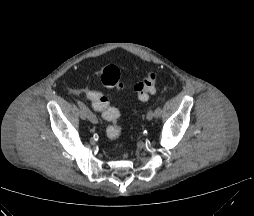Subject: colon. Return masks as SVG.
Returning a JSON list of instances; mask_svg holds the SVG:
<instances>
[{
    "label": "colon",
    "instance_id": "obj_1",
    "mask_svg": "<svg viewBox=\"0 0 254 216\" xmlns=\"http://www.w3.org/2000/svg\"><path fill=\"white\" fill-rule=\"evenodd\" d=\"M97 77L101 83L107 88H113L117 91L125 89L124 84L120 80V70L115 65H108L103 68ZM157 86V77L154 72H149L138 83H136L130 91L135 93L142 100H148L151 94H154ZM88 98L93 102L95 108L102 112L104 120L109 122L106 129V134L110 139H117L121 135V127L117 120L120 116L119 110L116 107L110 106L108 98L97 90L87 91Z\"/></svg>",
    "mask_w": 254,
    "mask_h": 216
}]
</instances>
